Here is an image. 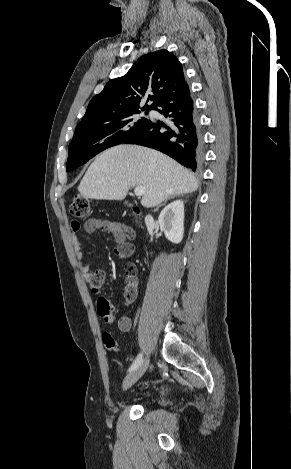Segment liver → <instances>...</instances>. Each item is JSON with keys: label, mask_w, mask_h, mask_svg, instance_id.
Wrapping results in <instances>:
<instances>
[{"label": "liver", "mask_w": 291, "mask_h": 469, "mask_svg": "<svg viewBox=\"0 0 291 469\" xmlns=\"http://www.w3.org/2000/svg\"><path fill=\"white\" fill-rule=\"evenodd\" d=\"M142 186L144 207H155L172 195L197 190L194 174L172 158L137 145H118L99 154L78 190L86 198L122 200L131 187Z\"/></svg>", "instance_id": "6515ba94"}]
</instances>
